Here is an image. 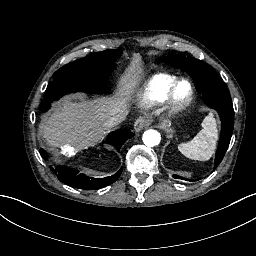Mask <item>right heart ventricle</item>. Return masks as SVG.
<instances>
[{
    "instance_id": "e07e8e85",
    "label": "right heart ventricle",
    "mask_w": 256,
    "mask_h": 256,
    "mask_svg": "<svg viewBox=\"0 0 256 256\" xmlns=\"http://www.w3.org/2000/svg\"><path fill=\"white\" fill-rule=\"evenodd\" d=\"M177 81L178 77L173 74L159 72L153 75L144 84L141 100L149 101L153 104H160L165 100L172 86Z\"/></svg>"
}]
</instances>
